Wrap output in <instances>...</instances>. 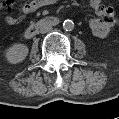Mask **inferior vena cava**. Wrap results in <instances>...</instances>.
Masks as SVG:
<instances>
[{
  "instance_id": "602c4592",
  "label": "inferior vena cava",
  "mask_w": 119,
  "mask_h": 119,
  "mask_svg": "<svg viewBox=\"0 0 119 119\" xmlns=\"http://www.w3.org/2000/svg\"><path fill=\"white\" fill-rule=\"evenodd\" d=\"M52 30V26L51 25H44L40 28V33L44 34V33H48Z\"/></svg>"
}]
</instances>
